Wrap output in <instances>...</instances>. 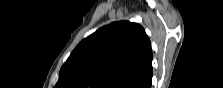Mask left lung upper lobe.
Here are the masks:
<instances>
[{
	"mask_svg": "<svg viewBox=\"0 0 223 88\" xmlns=\"http://www.w3.org/2000/svg\"><path fill=\"white\" fill-rule=\"evenodd\" d=\"M150 40L139 24L98 29L71 53L55 88H133L152 73Z\"/></svg>",
	"mask_w": 223,
	"mask_h": 88,
	"instance_id": "5c2ea615",
	"label": "left lung upper lobe"
}]
</instances>
